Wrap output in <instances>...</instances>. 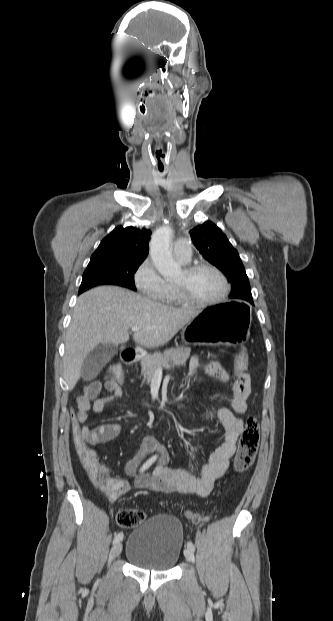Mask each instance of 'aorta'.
<instances>
[{"instance_id":"1","label":"aorta","mask_w":333,"mask_h":621,"mask_svg":"<svg viewBox=\"0 0 333 621\" xmlns=\"http://www.w3.org/2000/svg\"><path fill=\"white\" fill-rule=\"evenodd\" d=\"M172 236V229L163 226L153 233L150 241V255L153 264L158 272L166 278L181 274V266L173 260L170 250Z\"/></svg>"}]
</instances>
